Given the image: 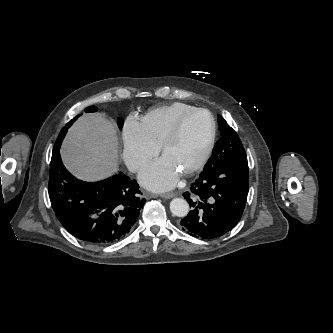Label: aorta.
Masks as SVG:
<instances>
[{"instance_id":"1","label":"aorta","mask_w":333,"mask_h":333,"mask_svg":"<svg viewBox=\"0 0 333 333\" xmlns=\"http://www.w3.org/2000/svg\"><path fill=\"white\" fill-rule=\"evenodd\" d=\"M171 212L177 217H185L189 211V205L182 198H175L170 203Z\"/></svg>"}]
</instances>
